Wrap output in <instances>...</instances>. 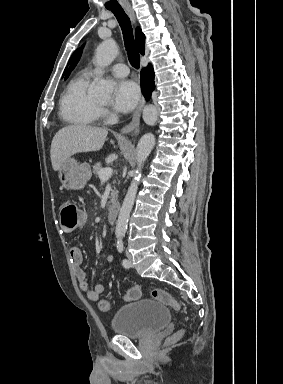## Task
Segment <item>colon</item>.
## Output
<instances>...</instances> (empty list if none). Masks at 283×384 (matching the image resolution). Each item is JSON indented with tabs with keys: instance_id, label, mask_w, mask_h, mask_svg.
<instances>
[{
	"instance_id": "5ec220e1",
	"label": "colon",
	"mask_w": 283,
	"mask_h": 384,
	"mask_svg": "<svg viewBox=\"0 0 283 384\" xmlns=\"http://www.w3.org/2000/svg\"><path fill=\"white\" fill-rule=\"evenodd\" d=\"M59 214L61 229L64 233H72L83 224L84 216L71 199H64L61 201L59 205ZM140 296L141 289L136 286L125 293L124 299L126 301H132L140 298ZM151 296L155 300L161 302L166 306L171 307L176 311L180 309L179 302L169 292L163 289H153L151 292ZM98 307L102 312H109L111 308L110 303L107 300H100L98 302ZM182 334L183 331L177 332L171 338V340H176L180 338Z\"/></svg>"
}]
</instances>
